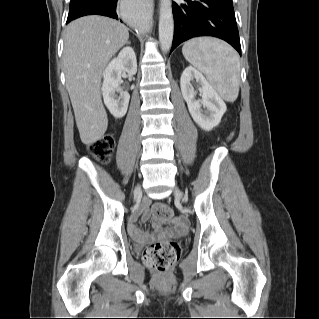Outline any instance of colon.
Segmentation results:
<instances>
[{
	"instance_id": "5ec220e1",
	"label": "colon",
	"mask_w": 319,
	"mask_h": 319,
	"mask_svg": "<svg viewBox=\"0 0 319 319\" xmlns=\"http://www.w3.org/2000/svg\"><path fill=\"white\" fill-rule=\"evenodd\" d=\"M115 146L114 138L105 135L101 139L89 145L93 155L101 160H107ZM153 217L157 220H169L174 217L172 209L166 204H156L152 209ZM181 246L173 240L154 242L146 246L143 251V262L149 268L154 269L159 276H164L172 265L178 260Z\"/></svg>"
}]
</instances>
